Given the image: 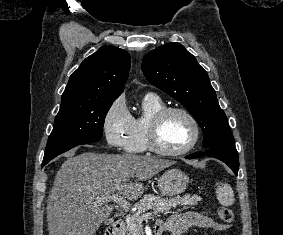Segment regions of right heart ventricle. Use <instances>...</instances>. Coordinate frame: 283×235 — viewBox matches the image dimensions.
Instances as JSON below:
<instances>
[{"instance_id":"right-heart-ventricle-1","label":"right heart ventricle","mask_w":283,"mask_h":235,"mask_svg":"<svg viewBox=\"0 0 283 235\" xmlns=\"http://www.w3.org/2000/svg\"><path fill=\"white\" fill-rule=\"evenodd\" d=\"M165 103L157 95L148 93L141 101L142 113L132 117L125 137L124 149L128 153H144L148 151L146 143V131L150 119L161 109Z\"/></svg>"}]
</instances>
